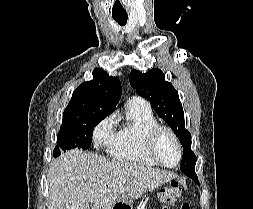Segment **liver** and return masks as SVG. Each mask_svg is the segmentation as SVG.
Here are the masks:
<instances>
[{
  "label": "liver",
  "mask_w": 253,
  "mask_h": 209,
  "mask_svg": "<svg viewBox=\"0 0 253 209\" xmlns=\"http://www.w3.org/2000/svg\"><path fill=\"white\" fill-rule=\"evenodd\" d=\"M173 178L168 171L74 149L62 153L49 167L48 209H112L118 200L133 203Z\"/></svg>",
  "instance_id": "6515ba94"
}]
</instances>
